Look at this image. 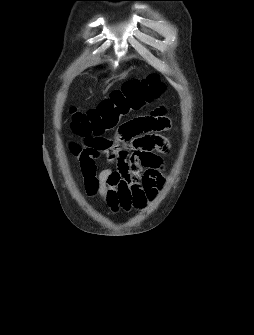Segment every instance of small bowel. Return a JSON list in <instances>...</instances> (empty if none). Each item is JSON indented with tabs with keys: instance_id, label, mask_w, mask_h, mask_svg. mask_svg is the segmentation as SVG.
I'll list each match as a JSON object with an SVG mask.
<instances>
[{
	"instance_id": "small-bowel-1",
	"label": "small bowel",
	"mask_w": 254,
	"mask_h": 335,
	"mask_svg": "<svg viewBox=\"0 0 254 335\" xmlns=\"http://www.w3.org/2000/svg\"><path fill=\"white\" fill-rule=\"evenodd\" d=\"M167 113V108L158 105L147 117L117 124V139L102 150L70 144L89 196H98L116 212L141 210L157 195L164 184V157L171 151L169 139L160 133L170 128ZM101 155L109 165L98 171L97 159Z\"/></svg>"
}]
</instances>
